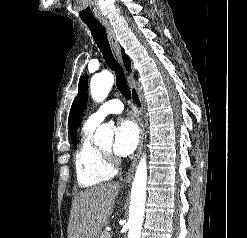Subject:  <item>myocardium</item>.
Returning <instances> with one entry per match:
<instances>
[{
	"label": "myocardium",
	"mask_w": 247,
	"mask_h": 238,
	"mask_svg": "<svg viewBox=\"0 0 247 238\" xmlns=\"http://www.w3.org/2000/svg\"><path fill=\"white\" fill-rule=\"evenodd\" d=\"M103 154L105 155V157L109 160H111V157H110V151H106V150H102ZM111 163V162H110Z\"/></svg>",
	"instance_id": "1"
}]
</instances>
